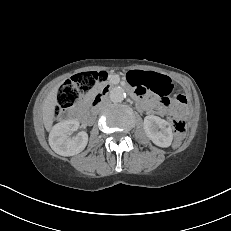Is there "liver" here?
Segmentation results:
<instances>
[{
  "label": "liver",
  "mask_w": 231,
  "mask_h": 231,
  "mask_svg": "<svg viewBox=\"0 0 231 231\" xmlns=\"http://www.w3.org/2000/svg\"><path fill=\"white\" fill-rule=\"evenodd\" d=\"M60 85L58 84L52 88L42 105L43 124L47 131H50L53 125L55 106L57 105V93Z\"/></svg>",
  "instance_id": "6515ba94"
}]
</instances>
